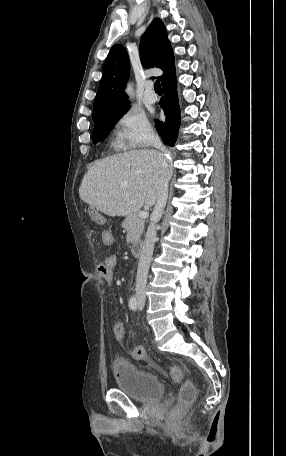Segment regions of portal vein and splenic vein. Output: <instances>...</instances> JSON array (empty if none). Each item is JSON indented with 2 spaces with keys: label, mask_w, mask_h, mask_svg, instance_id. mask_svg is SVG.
<instances>
[{
  "label": "portal vein and splenic vein",
  "mask_w": 286,
  "mask_h": 456,
  "mask_svg": "<svg viewBox=\"0 0 286 456\" xmlns=\"http://www.w3.org/2000/svg\"><path fill=\"white\" fill-rule=\"evenodd\" d=\"M138 216L141 219H145V218H147L149 216V213H148L147 210H144V211L139 212Z\"/></svg>",
  "instance_id": "portal-vein-and-splenic-vein-1"
}]
</instances>
